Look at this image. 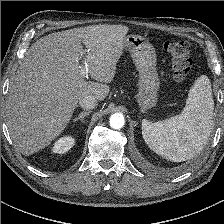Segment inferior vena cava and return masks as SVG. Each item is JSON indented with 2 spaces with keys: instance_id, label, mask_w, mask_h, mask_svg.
<instances>
[{
  "instance_id": "602c4592",
  "label": "inferior vena cava",
  "mask_w": 224,
  "mask_h": 224,
  "mask_svg": "<svg viewBox=\"0 0 224 224\" xmlns=\"http://www.w3.org/2000/svg\"><path fill=\"white\" fill-rule=\"evenodd\" d=\"M79 104L83 109H94L97 106V99L93 96H85L79 100Z\"/></svg>"
}]
</instances>
